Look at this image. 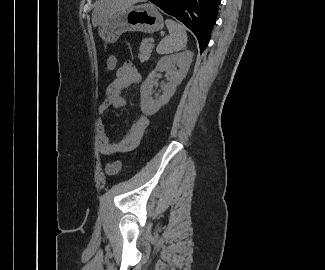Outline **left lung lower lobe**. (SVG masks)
<instances>
[{
  "label": "left lung lower lobe",
  "instance_id": "1",
  "mask_svg": "<svg viewBox=\"0 0 325 270\" xmlns=\"http://www.w3.org/2000/svg\"><path fill=\"white\" fill-rule=\"evenodd\" d=\"M184 23L197 37L200 52L206 48L216 21L220 0H149Z\"/></svg>",
  "mask_w": 325,
  "mask_h": 270
}]
</instances>
